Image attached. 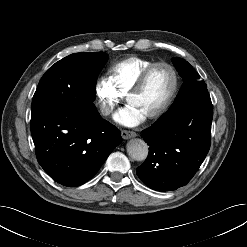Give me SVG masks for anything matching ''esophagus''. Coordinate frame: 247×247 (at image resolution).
<instances>
[{
  "mask_svg": "<svg viewBox=\"0 0 247 247\" xmlns=\"http://www.w3.org/2000/svg\"><path fill=\"white\" fill-rule=\"evenodd\" d=\"M121 136L123 139H130V138L136 137L137 134L133 131L122 130Z\"/></svg>",
  "mask_w": 247,
  "mask_h": 247,
  "instance_id": "esophagus-1",
  "label": "esophagus"
}]
</instances>
